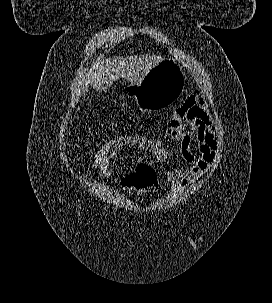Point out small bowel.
<instances>
[{
  "instance_id": "1",
  "label": "small bowel",
  "mask_w": 272,
  "mask_h": 303,
  "mask_svg": "<svg viewBox=\"0 0 272 303\" xmlns=\"http://www.w3.org/2000/svg\"><path fill=\"white\" fill-rule=\"evenodd\" d=\"M165 138L180 144L181 159L186 168H172L166 178L174 192L182 186H188L208 171L217 156L219 148L218 133L213 117L204 101L194 92L178 107L168 121ZM119 148L113 152L112 161L125 146H136L143 151H150L159 162L168 160V152L162 137L148 138L142 135H123L117 139ZM136 170L124 173L120 178L122 187L134 189ZM110 166L100 173L102 177H111Z\"/></svg>"
}]
</instances>
